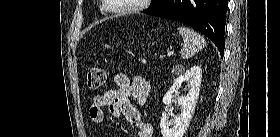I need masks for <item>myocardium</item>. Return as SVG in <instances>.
I'll return each instance as SVG.
<instances>
[{
    "mask_svg": "<svg viewBox=\"0 0 280 137\" xmlns=\"http://www.w3.org/2000/svg\"><path fill=\"white\" fill-rule=\"evenodd\" d=\"M104 7L114 13H122V14H126V13H131L134 11H137L139 9H141V6L144 2H147L146 0H134V3L124 7V8H120V9H114L112 8L109 4H107L106 2H108L107 0H104Z\"/></svg>",
    "mask_w": 280,
    "mask_h": 137,
    "instance_id": "myocardium-1",
    "label": "myocardium"
}]
</instances>
